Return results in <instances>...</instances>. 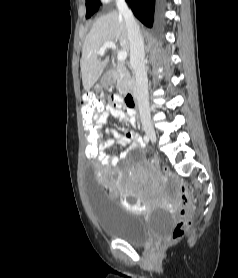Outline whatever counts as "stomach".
<instances>
[{
	"label": "stomach",
	"instance_id": "stomach-1",
	"mask_svg": "<svg viewBox=\"0 0 238 278\" xmlns=\"http://www.w3.org/2000/svg\"><path fill=\"white\" fill-rule=\"evenodd\" d=\"M115 76L111 71L106 72L101 79V87L108 88L115 83Z\"/></svg>",
	"mask_w": 238,
	"mask_h": 278
}]
</instances>
